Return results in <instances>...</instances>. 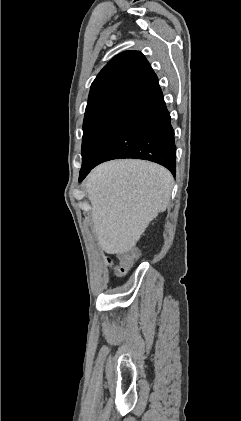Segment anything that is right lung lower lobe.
Returning a JSON list of instances; mask_svg holds the SVG:
<instances>
[{
	"mask_svg": "<svg viewBox=\"0 0 241 421\" xmlns=\"http://www.w3.org/2000/svg\"><path fill=\"white\" fill-rule=\"evenodd\" d=\"M170 120L156 81L134 98L120 127L97 161L91 167L80 170L79 181L98 164L120 158L156 162L175 176L176 145Z\"/></svg>",
	"mask_w": 241,
	"mask_h": 421,
	"instance_id": "obj_1",
	"label": "right lung lower lobe"
}]
</instances>
